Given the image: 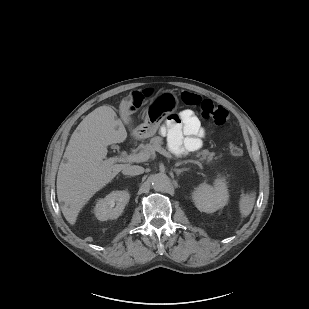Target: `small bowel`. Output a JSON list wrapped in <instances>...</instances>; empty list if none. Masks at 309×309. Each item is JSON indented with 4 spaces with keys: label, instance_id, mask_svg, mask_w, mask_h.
I'll list each match as a JSON object with an SVG mask.
<instances>
[{
    "label": "small bowel",
    "instance_id": "obj_1",
    "mask_svg": "<svg viewBox=\"0 0 309 309\" xmlns=\"http://www.w3.org/2000/svg\"><path fill=\"white\" fill-rule=\"evenodd\" d=\"M168 143L171 150L182 154L201 148L204 129L198 118L189 110H183L166 123Z\"/></svg>",
    "mask_w": 309,
    "mask_h": 309
}]
</instances>
